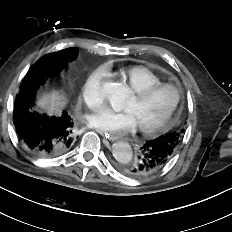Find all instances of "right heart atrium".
Returning <instances> with one entry per match:
<instances>
[{"label": "right heart atrium", "mask_w": 232, "mask_h": 232, "mask_svg": "<svg viewBox=\"0 0 232 232\" xmlns=\"http://www.w3.org/2000/svg\"><path fill=\"white\" fill-rule=\"evenodd\" d=\"M106 76V69L100 67L95 69L87 77L82 87V98L91 108L99 107L104 100L103 81Z\"/></svg>", "instance_id": "d8ad5b80"}]
</instances>
